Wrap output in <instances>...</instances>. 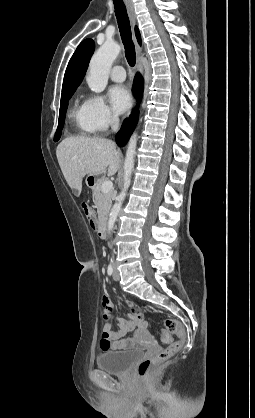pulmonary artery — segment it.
Returning <instances> with one entry per match:
<instances>
[{
    "mask_svg": "<svg viewBox=\"0 0 255 418\" xmlns=\"http://www.w3.org/2000/svg\"><path fill=\"white\" fill-rule=\"evenodd\" d=\"M110 77L115 82H122L125 80L126 74L122 66L116 65L110 72Z\"/></svg>",
    "mask_w": 255,
    "mask_h": 418,
    "instance_id": "obj_1",
    "label": "pulmonary artery"
}]
</instances>
